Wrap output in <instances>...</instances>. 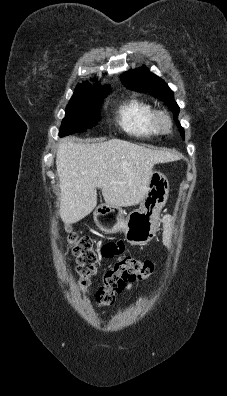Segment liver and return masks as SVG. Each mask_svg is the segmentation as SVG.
Listing matches in <instances>:
<instances>
[{
	"mask_svg": "<svg viewBox=\"0 0 227 396\" xmlns=\"http://www.w3.org/2000/svg\"><path fill=\"white\" fill-rule=\"evenodd\" d=\"M176 156L125 140L82 144L60 140L56 168L60 181L59 214L70 225L89 215L97 205L100 188L108 205L135 206L147 191L153 166Z\"/></svg>",
	"mask_w": 227,
	"mask_h": 396,
	"instance_id": "1",
	"label": "liver"
}]
</instances>
